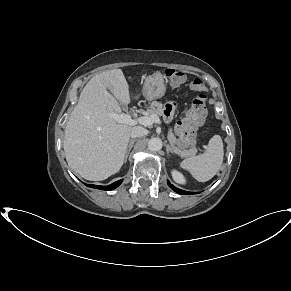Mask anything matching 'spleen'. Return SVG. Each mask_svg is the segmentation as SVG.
<instances>
[{"mask_svg":"<svg viewBox=\"0 0 291 291\" xmlns=\"http://www.w3.org/2000/svg\"><path fill=\"white\" fill-rule=\"evenodd\" d=\"M223 142L219 135H214L203 154L184 159L180 166L189 171L199 182L212 179L219 171L223 163Z\"/></svg>","mask_w":291,"mask_h":291,"instance_id":"3e777b00","label":"spleen"}]
</instances>
